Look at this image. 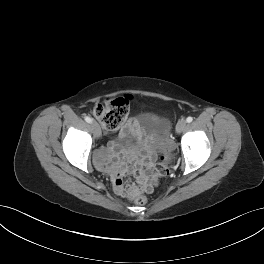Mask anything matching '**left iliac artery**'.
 <instances>
[{"mask_svg": "<svg viewBox=\"0 0 264 264\" xmlns=\"http://www.w3.org/2000/svg\"><path fill=\"white\" fill-rule=\"evenodd\" d=\"M192 121H193V118H192L191 116H189V117L186 118V122H187V123H190V122H192Z\"/></svg>", "mask_w": 264, "mask_h": 264, "instance_id": "1", "label": "left iliac artery"}]
</instances>
